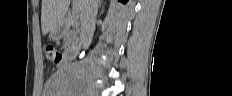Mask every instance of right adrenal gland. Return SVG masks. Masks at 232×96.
Listing matches in <instances>:
<instances>
[{
    "instance_id": "right-adrenal-gland-1",
    "label": "right adrenal gland",
    "mask_w": 232,
    "mask_h": 96,
    "mask_svg": "<svg viewBox=\"0 0 232 96\" xmlns=\"http://www.w3.org/2000/svg\"><path fill=\"white\" fill-rule=\"evenodd\" d=\"M102 0H99V8L101 7Z\"/></svg>"
}]
</instances>
